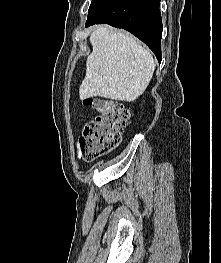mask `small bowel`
<instances>
[{
	"label": "small bowel",
	"instance_id": "c3829d8e",
	"mask_svg": "<svg viewBox=\"0 0 221 263\" xmlns=\"http://www.w3.org/2000/svg\"><path fill=\"white\" fill-rule=\"evenodd\" d=\"M81 143H82V140H80L78 143H77V158L81 159L83 154H82V150H81Z\"/></svg>",
	"mask_w": 221,
	"mask_h": 263
}]
</instances>
